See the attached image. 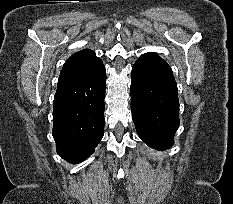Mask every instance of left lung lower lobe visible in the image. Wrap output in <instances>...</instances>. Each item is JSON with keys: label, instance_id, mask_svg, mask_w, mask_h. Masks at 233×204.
Instances as JSON below:
<instances>
[{"label": "left lung lower lobe", "instance_id": "0a47b994", "mask_svg": "<svg viewBox=\"0 0 233 204\" xmlns=\"http://www.w3.org/2000/svg\"><path fill=\"white\" fill-rule=\"evenodd\" d=\"M131 110L137 133L148 146H172L179 127L178 89L170 66L155 53L142 55L133 65Z\"/></svg>", "mask_w": 233, "mask_h": 204}]
</instances>
